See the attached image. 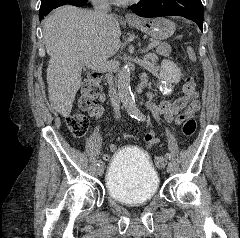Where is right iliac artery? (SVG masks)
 Returning a JSON list of instances; mask_svg holds the SVG:
<instances>
[{"label": "right iliac artery", "mask_w": 240, "mask_h": 238, "mask_svg": "<svg viewBox=\"0 0 240 238\" xmlns=\"http://www.w3.org/2000/svg\"><path fill=\"white\" fill-rule=\"evenodd\" d=\"M102 164H103L102 160H98L97 165L100 166Z\"/></svg>", "instance_id": "right-iliac-artery-1"}]
</instances>
